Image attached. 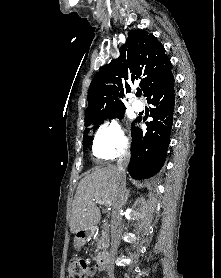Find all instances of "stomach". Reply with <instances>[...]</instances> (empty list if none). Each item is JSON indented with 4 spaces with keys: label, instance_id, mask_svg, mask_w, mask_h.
I'll list each match as a JSON object with an SVG mask.
<instances>
[{
    "label": "stomach",
    "instance_id": "1",
    "mask_svg": "<svg viewBox=\"0 0 221 278\" xmlns=\"http://www.w3.org/2000/svg\"><path fill=\"white\" fill-rule=\"evenodd\" d=\"M86 243V237L77 236L74 239V248L80 250V248Z\"/></svg>",
    "mask_w": 221,
    "mask_h": 278
}]
</instances>
